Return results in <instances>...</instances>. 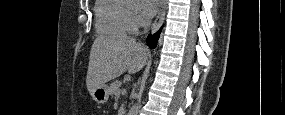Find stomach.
Masks as SVG:
<instances>
[{
	"instance_id": "1",
	"label": "stomach",
	"mask_w": 285,
	"mask_h": 115,
	"mask_svg": "<svg viewBox=\"0 0 285 115\" xmlns=\"http://www.w3.org/2000/svg\"><path fill=\"white\" fill-rule=\"evenodd\" d=\"M109 94V87L106 84L95 88L92 92H90V95L97 104L106 103L109 99Z\"/></svg>"
}]
</instances>
